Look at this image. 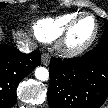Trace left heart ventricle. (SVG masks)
Returning <instances> with one entry per match:
<instances>
[{"mask_svg":"<svg viewBox=\"0 0 108 108\" xmlns=\"http://www.w3.org/2000/svg\"><path fill=\"white\" fill-rule=\"evenodd\" d=\"M93 30V22L91 19H84L79 23V25L74 30L72 36L73 43H81L85 41L92 33Z\"/></svg>","mask_w":108,"mask_h":108,"instance_id":"1","label":"left heart ventricle"}]
</instances>
